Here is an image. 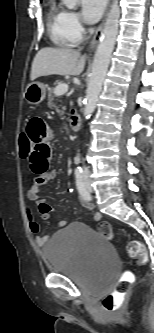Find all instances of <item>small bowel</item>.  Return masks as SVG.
Wrapping results in <instances>:
<instances>
[{"instance_id": "c3829d8e", "label": "small bowel", "mask_w": 154, "mask_h": 333, "mask_svg": "<svg viewBox=\"0 0 154 333\" xmlns=\"http://www.w3.org/2000/svg\"><path fill=\"white\" fill-rule=\"evenodd\" d=\"M26 134L32 142V150L28 158L30 168L35 174V178L28 189L27 196L30 200L36 202L41 218L48 221L54 210L45 199L41 198L40 188L50 180L54 179L57 175L55 170L50 169L52 131L47 123L41 118H32L28 122ZM81 201L85 207L92 209V204L89 201L83 198H81ZM93 219L99 221L101 215L95 212L93 214ZM28 221L30 231L35 235L37 245H45L49 236L40 235V225L32 217L30 211H28ZM58 225L64 227L67 225V222L60 220L58 221Z\"/></svg>"}]
</instances>
